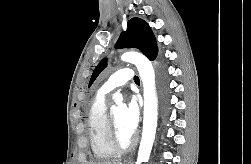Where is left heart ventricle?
<instances>
[{"instance_id":"left-heart-ventricle-1","label":"left heart ventricle","mask_w":251,"mask_h":164,"mask_svg":"<svg viewBox=\"0 0 251 164\" xmlns=\"http://www.w3.org/2000/svg\"><path fill=\"white\" fill-rule=\"evenodd\" d=\"M124 111H125V108L123 106H119V107L115 108L112 111V113H113V116H114V118L116 120L117 127H118V130H119L120 137H121L122 141L127 142L132 134H130L127 131V129L125 128V125H124Z\"/></svg>"}]
</instances>
